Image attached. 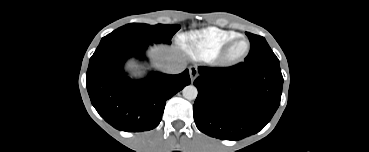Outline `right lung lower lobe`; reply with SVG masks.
<instances>
[{"instance_id": "right-lung-lower-lobe-1", "label": "right lung lower lobe", "mask_w": 369, "mask_h": 152, "mask_svg": "<svg viewBox=\"0 0 369 152\" xmlns=\"http://www.w3.org/2000/svg\"><path fill=\"white\" fill-rule=\"evenodd\" d=\"M145 40L121 36L102 40L90 58L86 86L92 105L114 128L148 131L160 123L165 104L191 80L186 69L178 75L152 72L138 81L123 71L130 57L144 58Z\"/></svg>"}]
</instances>
